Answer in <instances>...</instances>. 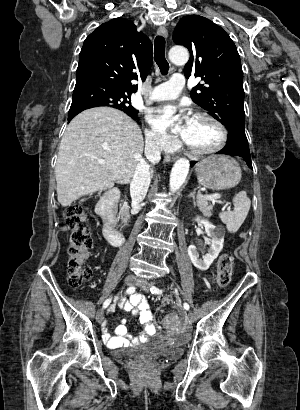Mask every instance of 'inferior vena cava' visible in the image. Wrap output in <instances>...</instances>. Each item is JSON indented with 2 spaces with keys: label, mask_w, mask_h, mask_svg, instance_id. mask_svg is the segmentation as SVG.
<instances>
[{
  "label": "inferior vena cava",
  "mask_w": 300,
  "mask_h": 410,
  "mask_svg": "<svg viewBox=\"0 0 300 410\" xmlns=\"http://www.w3.org/2000/svg\"><path fill=\"white\" fill-rule=\"evenodd\" d=\"M162 149V138L154 136L146 139L145 154L147 158L153 162L158 163L160 161V153ZM150 165L144 160H139L133 179L130 183V195L132 199V208L139 210L141 203L143 202L149 185H150Z\"/></svg>",
  "instance_id": "1"
}]
</instances>
